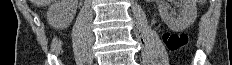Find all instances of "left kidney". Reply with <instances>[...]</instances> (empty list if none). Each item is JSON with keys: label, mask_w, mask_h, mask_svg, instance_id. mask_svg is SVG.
Instances as JSON below:
<instances>
[{"label": "left kidney", "mask_w": 232, "mask_h": 65, "mask_svg": "<svg viewBox=\"0 0 232 65\" xmlns=\"http://www.w3.org/2000/svg\"><path fill=\"white\" fill-rule=\"evenodd\" d=\"M159 13L166 25L174 31H183L188 28L197 17V7L195 0H180L182 11L180 16H174L164 1L159 0Z\"/></svg>", "instance_id": "5707ae66"}]
</instances>
